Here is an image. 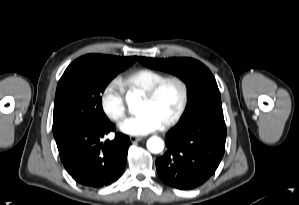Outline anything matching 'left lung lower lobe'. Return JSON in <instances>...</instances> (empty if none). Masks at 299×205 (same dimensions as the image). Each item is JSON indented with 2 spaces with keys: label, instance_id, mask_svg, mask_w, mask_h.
Listing matches in <instances>:
<instances>
[{
  "label": "left lung lower lobe",
  "instance_id": "left-lung-lower-lobe-1",
  "mask_svg": "<svg viewBox=\"0 0 299 205\" xmlns=\"http://www.w3.org/2000/svg\"><path fill=\"white\" fill-rule=\"evenodd\" d=\"M223 111L178 124L167 133L166 153L156 160L160 179L167 185L190 190L216 171L225 152Z\"/></svg>",
  "mask_w": 299,
  "mask_h": 205
}]
</instances>
